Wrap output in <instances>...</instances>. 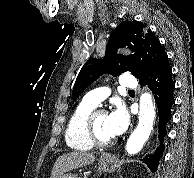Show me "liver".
Wrapping results in <instances>:
<instances>
[{
  "instance_id": "obj_1",
  "label": "liver",
  "mask_w": 194,
  "mask_h": 178,
  "mask_svg": "<svg viewBox=\"0 0 194 178\" xmlns=\"http://www.w3.org/2000/svg\"><path fill=\"white\" fill-rule=\"evenodd\" d=\"M95 161V155L86 152H71L60 156L53 167L51 178H59L62 174L89 165Z\"/></svg>"
}]
</instances>
